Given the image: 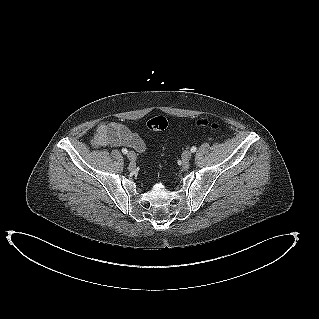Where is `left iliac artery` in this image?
I'll use <instances>...</instances> for the list:
<instances>
[{
    "instance_id": "left-iliac-artery-1",
    "label": "left iliac artery",
    "mask_w": 319,
    "mask_h": 319,
    "mask_svg": "<svg viewBox=\"0 0 319 319\" xmlns=\"http://www.w3.org/2000/svg\"><path fill=\"white\" fill-rule=\"evenodd\" d=\"M196 150H197V148H196V146H193L192 148H191V152H196Z\"/></svg>"
}]
</instances>
